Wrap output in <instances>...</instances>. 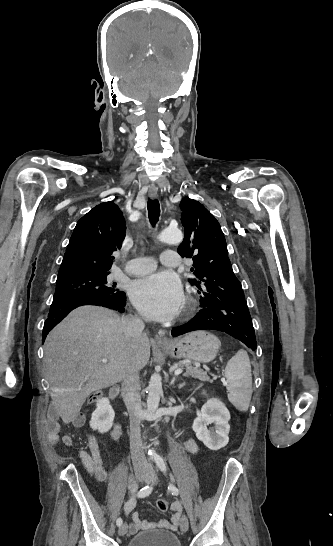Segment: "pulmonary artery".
Masks as SVG:
<instances>
[{"mask_svg": "<svg viewBox=\"0 0 333 546\" xmlns=\"http://www.w3.org/2000/svg\"><path fill=\"white\" fill-rule=\"evenodd\" d=\"M160 261L168 267H177L180 263V258L175 251H164L161 254ZM157 262L152 257H139L132 259L125 267V271L131 275H143L155 270Z\"/></svg>", "mask_w": 333, "mask_h": 546, "instance_id": "e3ab8cb5", "label": "pulmonary artery"}]
</instances>
